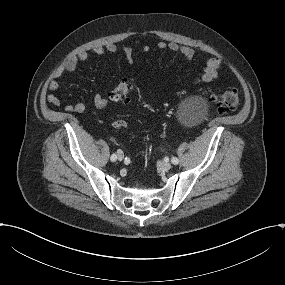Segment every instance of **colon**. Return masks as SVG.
Listing matches in <instances>:
<instances>
[{
	"label": "colon",
	"mask_w": 285,
	"mask_h": 285,
	"mask_svg": "<svg viewBox=\"0 0 285 285\" xmlns=\"http://www.w3.org/2000/svg\"><path fill=\"white\" fill-rule=\"evenodd\" d=\"M132 87L131 81H122L111 92V100L115 102H126ZM213 103L220 113H227L237 109L240 103V96L236 90H226L215 97ZM112 125L114 128L120 130L126 128L127 123L122 118H116Z\"/></svg>",
	"instance_id": "1"
}]
</instances>
